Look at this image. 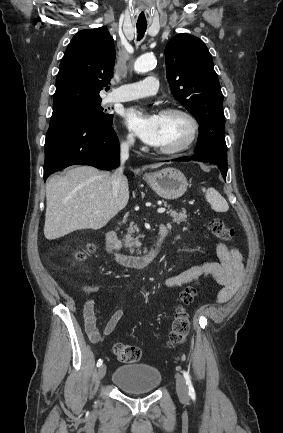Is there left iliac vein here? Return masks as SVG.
Wrapping results in <instances>:
<instances>
[{
  "label": "left iliac vein",
  "mask_w": 283,
  "mask_h": 433,
  "mask_svg": "<svg viewBox=\"0 0 283 433\" xmlns=\"http://www.w3.org/2000/svg\"><path fill=\"white\" fill-rule=\"evenodd\" d=\"M175 377H176L177 394L182 401L187 402L189 396H188V386L186 384V381L184 377L179 373H176Z\"/></svg>",
  "instance_id": "4c4485c4"
}]
</instances>
